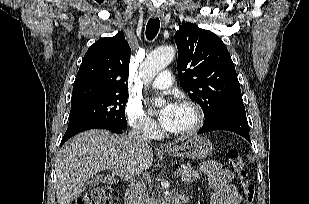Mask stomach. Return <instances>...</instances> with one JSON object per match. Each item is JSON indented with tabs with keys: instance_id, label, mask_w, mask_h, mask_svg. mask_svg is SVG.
<instances>
[{
	"instance_id": "1",
	"label": "stomach",
	"mask_w": 309,
	"mask_h": 204,
	"mask_svg": "<svg viewBox=\"0 0 309 204\" xmlns=\"http://www.w3.org/2000/svg\"><path fill=\"white\" fill-rule=\"evenodd\" d=\"M213 150V144L210 140L202 136H195L181 145H177L169 150L167 153L171 156L186 157L189 159H205Z\"/></svg>"
}]
</instances>
